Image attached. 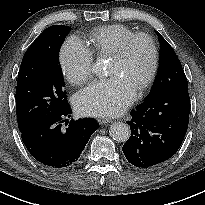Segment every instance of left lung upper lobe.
Segmentation results:
<instances>
[{
    "label": "left lung upper lobe",
    "instance_id": "1",
    "mask_svg": "<svg viewBox=\"0 0 205 205\" xmlns=\"http://www.w3.org/2000/svg\"><path fill=\"white\" fill-rule=\"evenodd\" d=\"M161 45L160 67L148 98L166 94L172 91L179 83L186 82L182 65L170 44L157 32Z\"/></svg>",
    "mask_w": 205,
    "mask_h": 205
}]
</instances>
